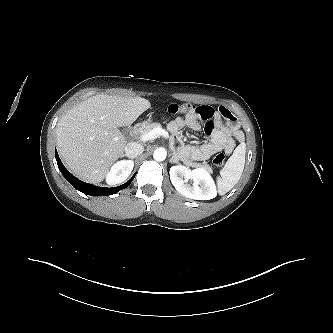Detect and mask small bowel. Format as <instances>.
Returning <instances> with one entry per match:
<instances>
[{"instance_id":"small-bowel-1","label":"small bowel","mask_w":333,"mask_h":333,"mask_svg":"<svg viewBox=\"0 0 333 333\" xmlns=\"http://www.w3.org/2000/svg\"><path fill=\"white\" fill-rule=\"evenodd\" d=\"M184 127L193 130L204 129L210 140L203 144L192 146L183 144L180 131ZM169 130L175 135V145L183 157H191L204 161L219 151L231 154L236 143L244 140L236 117L224 106L217 110L210 106H199L185 115L177 117L168 124Z\"/></svg>"}]
</instances>
